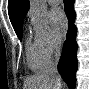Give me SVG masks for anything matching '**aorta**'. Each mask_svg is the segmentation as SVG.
Masks as SVG:
<instances>
[{
    "label": "aorta",
    "instance_id": "obj_1",
    "mask_svg": "<svg viewBox=\"0 0 89 89\" xmlns=\"http://www.w3.org/2000/svg\"><path fill=\"white\" fill-rule=\"evenodd\" d=\"M32 10L41 16H44L47 13V4L46 0H31L30 1Z\"/></svg>",
    "mask_w": 89,
    "mask_h": 89
}]
</instances>
